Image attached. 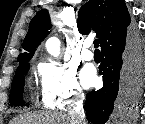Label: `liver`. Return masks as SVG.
I'll return each mask as SVG.
<instances>
[{"instance_id":"1","label":"liver","mask_w":145,"mask_h":124,"mask_svg":"<svg viewBox=\"0 0 145 124\" xmlns=\"http://www.w3.org/2000/svg\"><path fill=\"white\" fill-rule=\"evenodd\" d=\"M71 119L61 113H26L15 118L10 124H72Z\"/></svg>"}]
</instances>
